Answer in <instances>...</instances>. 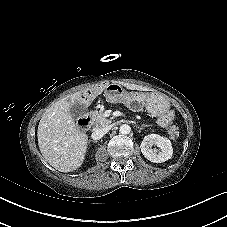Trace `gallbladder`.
I'll use <instances>...</instances> for the list:
<instances>
[{"label": "gallbladder", "instance_id": "obj_1", "mask_svg": "<svg viewBox=\"0 0 227 227\" xmlns=\"http://www.w3.org/2000/svg\"><path fill=\"white\" fill-rule=\"evenodd\" d=\"M87 112V108L82 103H75L74 106L71 107L70 113L74 119H78L82 115H84Z\"/></svg>", "mask_w": 227, "mask_h": 227}]
</instances>
